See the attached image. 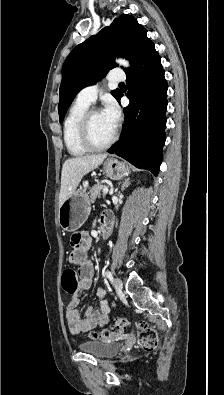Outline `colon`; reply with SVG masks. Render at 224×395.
I'll list each match as a JSON object with an SVG mask.
<instances>
[{
    "label": "colon",
    "mask_w": 224,
    "mask_h": 395,
    "mask_svg": "<svg viewBox=\"0 0 224 395\" xmlns=\"http://www.w3.org/2000/svg\"><path fill=\"white\" fill-rule=\"evenodd\" d=\"M77 274L74 269H67L63 273V288L69 293H75L77 289ZM129 326V321L127 318L121 317L116 320V322L108 329H103L101 331H93L89 334V338L93 340H108L114 337H118L124 334ZM139 336L138 342L142 350L152 351L158 346V335L157 332L145 323L139 324Z\"/></svg>",
    "instance_id": "1"
}]
</instances>
